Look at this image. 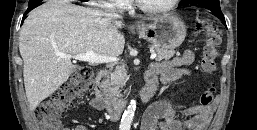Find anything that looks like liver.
Listing matches in <instances>:
<instances>
[{"mask_svg":"<svg viewBox=\"0 0 257 130\" xmlns=\"http://www.w3.org/2000/svg\"><path fill=\"white\" fill-rule=\"evenodd\" d=\"M122 26V22L108 18L104 12L57 0H49L30 12L19 38L30 109L35 110L53 94L76 68L69 58H60L56 53L93 51L101 56H119L125 45L118 31Z\"/></svg>","mask_w":257,"mask_h":130,"instance_id":"liver-1","label":"liver"}]
</instances>
